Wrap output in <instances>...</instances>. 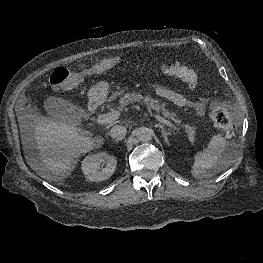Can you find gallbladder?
Wrapping results in <instances>:
<instances>
[{
	"mask_svg": "<svg viewBox=\"0 0 263 263\" xmlns=\"http://www.w3.org/2000/svg\"><path fill=\"white\" fill-rule=\"evenodd\" d=\"M44 109L50 118L57 123H72L79 119L72 104L59 97H48L44 101Z\"/></svg>",
	"mask_w": 263,
	"mask_h": 263,
	"instance_id": "obj_1",
	"label": "gallbladder"
}]
</instances>
